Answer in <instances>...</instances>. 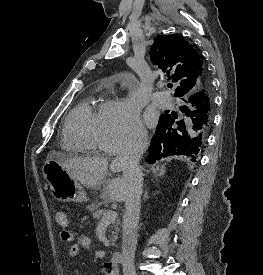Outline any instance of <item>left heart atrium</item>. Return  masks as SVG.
<instances>
[{"instance_id": "1", "label": "left heart atrium", "mask_w": 263, "mask_h": 275, "mask_svg": "<svg viewBox=\"0 0 263 275\" xmlns=\"http://www.w3.org/2000/svg\"><path fill=\"white\" fill-rule=\"evenodd\" d=\"M146 121H147V123L152 124V123L154 122V119H153L152 116L148 115V116L146 117Z\"/></svg>"}]
</instances>
